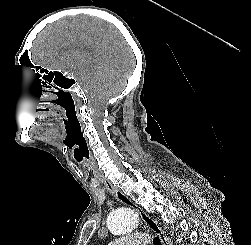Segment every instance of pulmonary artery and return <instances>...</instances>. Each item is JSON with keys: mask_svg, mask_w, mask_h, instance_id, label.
<instances>
[{"mask_svg": "<svg viewBox=\"0 0 251 245\" xmlns=\"http://www.w3.org/2000/svg\"><path fill=\"white\" fill-rule=\"evenodd\" d=\"M147 242H148L147 234L144 233L113 241L109 245H146Z\"/></svg>", "mask_w": 251, "mask_h": 245, "instance_id": "1", "label": "pulmonary artery"}]
</instances>
